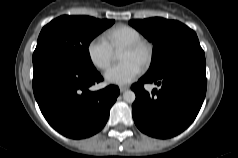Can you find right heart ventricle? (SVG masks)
<instances>
[{
	"mask_svg": "<svg viewBox=\"0 0 238 158\" xmlns=\"http://www.w3.org/2000/svg\"><path fill=\"white\" fill-rule=\"evenodd\" d=\"M105 39L114 51L122 49L125 45L142 39L141 33L134 27L120 25L108 30Z\"/></svg>",
	"mask_w": 238,
	"mask_h": 158,
	"instance_id": "e07e8e85",
	"label": "right heart ventricle"
}]
</instances>
